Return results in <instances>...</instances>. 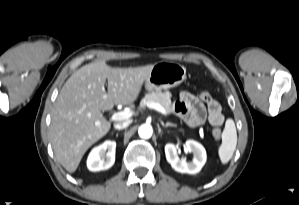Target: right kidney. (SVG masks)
<instances>
[{
	"label": "right kidney",
	"instance_id": "ca27d5eb",
	"mask_svg": "<svg viewBox=\"0 0 299 205\" xmlns=\"http://www.w3.org/2000/svg\"><path fill=\"white\" fill-rule=\"evenodd\" d=\"M116 142L105 141L95 147L87 159V167L90 171L96 172L110 168L115 162Z\"/></svg>",
	"mask_w": 299,
	"mask_h": 205
}]
</instances>
